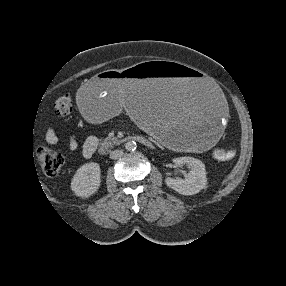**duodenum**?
Segmentation results:
<instances>
[{
	"instance_id": "obj_1",
	"label": "duodenum",
	"mask_w": 286,
	"mask_h": 286,
	"mask_svg": "<svg viewBox=\"0 0 286 286\" xmlns=\"http://www.w3.org/2000/svg\"><path fill=\"white\" fill-rule=\"evenodd\" d=\"M127 141H136L141 144H148V141L145 137L140 136V135H127L121 138H114V139H108V140H103L99 143V151L101 153H105L111 148L115 146H119L124 144Z\"/></svg>"
}]
</instances>
